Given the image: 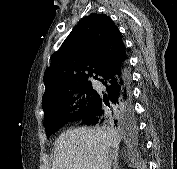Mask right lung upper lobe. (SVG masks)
I'll return each mask as SVG.
<instances>
[{
	"mask_svg": "<svg viewBox=\"0 0 177 169\" xmlns=\"http://www.w3.org/2000/svg\"><path fill=\"white\" fill-rule=\"evenodd\" d=\"M125 58L126 47L114 22L103 14L85 16L51 57L44 73L42 106L90 83V77L96 79L106 67Z\"/></svg>",
	"mask_w": 177,
	"mask_h": 169,
	"instance_id": "right-lung-upper-lobe-1",
	"label": "right lung upper lobe"
}]
</instances>
